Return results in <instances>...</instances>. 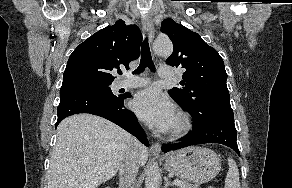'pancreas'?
<instances>
[{"instance_id": "1", "label": "pancreas", "mask_w": 292, "mask_h": 188, "mask_svg": "<svg viewBox=\"0 0 292 188\" xmlns=\"http://www.w3.org/2000/svg\"><path fill=\"white\" fill-rule=\"evenodd\" d=\"M183 186H179V188H196L194 185L183 181ZM211 188V187H210Z\"/></svg>"}]
</instances>
